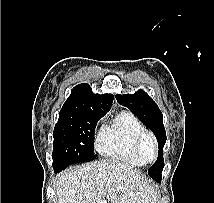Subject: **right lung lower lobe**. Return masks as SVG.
Returning <instances> with one entry per match:
<instances>
[{
  "mask_svg": "<svg viewBox=\"0 0 214 203\" xmlns=\"http://www.w3.org/2000/svg\"><path fill=\"white\" fill-rule=\"evenodd\" d=\"M54 171H55L56 173H57V172H60V171H57V170H54Z\"/></svg>",
  "mask_w": 214,
  "mask_h": 203,
  "instance_id": "right-lung-lower-lobe-1",
  "label": "right lung lower lobe"
}]
</instances>
